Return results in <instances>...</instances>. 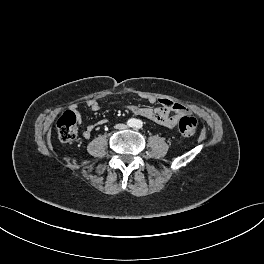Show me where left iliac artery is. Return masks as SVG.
<instances>
[{"label":"left iliac artery","mask_w":264,"mask_h":264,"mask_svg":"<svg viewBox=\"0 0 264 264\" xmlns=\"http://www.w3.org/2000/svg\"><path fill=\"white\" fill-rule=\"evenodd\" d=\"M142 127V122L140 120H138L136 122V128H141Z\"/></svg>","instance_id":"44dca946"}]
</instances>
